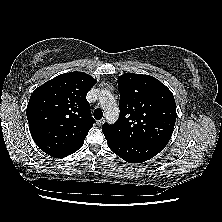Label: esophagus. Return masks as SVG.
Wrapping results in <instances>:
<instances>
[{
	"mask_svg": "<svg viewBox=\"0 0 222 222\" xmlns=\"http://www.w3.org/2000/svg\"><path fill=\"white\" fill-rule=\"evenodd\" d=\"M103 123H104V119H101V120H98V121H97V125H98V126H101Z\"/></svg>",
	"mask_w": 222,
	"mask_h": 222,
	"instance_id": "obj_1",
	"label": "esophagus"
}]
</instances>
